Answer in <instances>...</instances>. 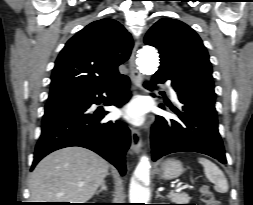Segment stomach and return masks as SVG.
<instances>
[{"instance_id":"stomach-1","label":"stomach","mask_w":253,"mask_h":205,"mask_svg":"<svg viewBox=\"0 0 253 205\" xmlns=\"http://www.w3.org/2000/svg\"><path fill=\"white\" fill-rule=\"evenodd\" d=\"M156 172L164 179H173L180 176L183 172L182 163L178 160H166Z\"/></svg>"}]
</instances>
